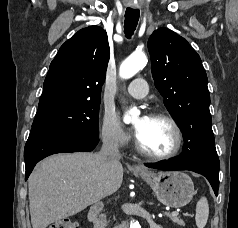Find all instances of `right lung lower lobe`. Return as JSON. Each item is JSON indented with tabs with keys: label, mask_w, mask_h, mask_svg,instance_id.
I'll return each instance as SVG.
<instances>
[{
	"label": "right lung lower lobe",
	"mask_w": 238,
	"mask_h": 228,
	"mask_svg": "<svg viewBox=\"0 0 238 228\" xmlns=\"http://www.w3.org/2000/svg\"><path fill=\"white\" fill-rule=\"evenodd\" d=\"M99 142L97 135L68 129H32L25 145V180L35 164L56 153L89 152Z\"/></svg>",
	"instance_id": "obj_1"
}]
</instances>
